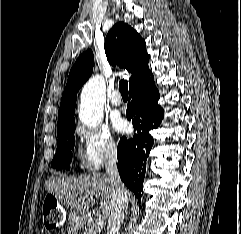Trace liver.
I'll return each instance as SVG.
<instances>
[{
  "label": "liver",
  "instance_id": "6515ba94",
  "mask_svg": "<svg viewBox=\"0 0 241 234\" xmlns=\"http://www.w3.org/2000/svg\"><path fill=\"white\" fill-rule=\"evenodd\" d=\"M45 189L66 206L80 214L83 219L88 209L100 198L96 215L107 219L112 210V185L105 174H89L72 177H50L45 181Z\"/></svg>",
  "mask_w": 241,
  "mask_h": 234
}]
</instances>
